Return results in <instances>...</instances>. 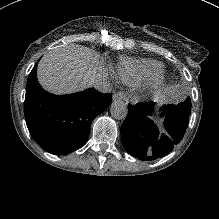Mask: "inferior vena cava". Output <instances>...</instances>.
Wrapping results in <instances>:
<instances>
[{"instance_id":"obj_1","label":"inferior vena cava","mask_w":219,"mask_h":219,"mask_svg":"<svg viewBox=\"0 0 219 219\" xmlns=\"http://www.w3.org/2000/svg\"><path fill=\"white\" fill-rule=\"evenodd\" d=\"M92 86L101 93H111L112 85L105 79L98 78L93 81Z\"/></svg>"}]
</instances>
